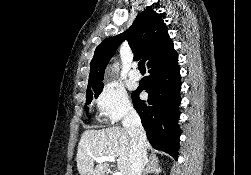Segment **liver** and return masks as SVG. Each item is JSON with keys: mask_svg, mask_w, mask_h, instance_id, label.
<instances>
[{"mask_svg": "<svg viewBox=\"0 0 251 175\" xmlns=\"http://www.w3.org/2000/svg\"><path fill=\"white\" fill-rule=\"evenodd\" d=\"M130 135L125 127H105V129H86L78 143L76 161L80 175H105L109 169L108 161L95 165L94 157L113 155L118 157L117 167L127 175L130 157ZM150 159L158 161L155 153Z\"/></svg>", "mask_w": 251, "mask_h": 175, "instance_id": "1", "label": "liver"}]
</instances>
